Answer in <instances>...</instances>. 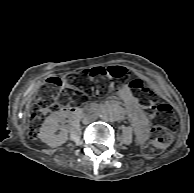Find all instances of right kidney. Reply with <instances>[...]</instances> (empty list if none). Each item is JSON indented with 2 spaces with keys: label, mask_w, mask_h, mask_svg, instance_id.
I'll list each match as a JSON object with an SVG mask.
<instances>
[{
  "label": "right kidney",
  "mask_w": 194,
  "mask_h": 193,
  "mask_svg": "<svg viewBox=\"0 0 194 193\" xmlns=\"http://www.w3.org/2000/svg\"><path fill=\"white\" fill-rule=\"evenodd\" d=\"M60 122L61 119L57 114H51L40 128L39 138L50 147L61 146L68 140L66 132L55 134Z\"/></svg>",
  "instance_id": "1"
}]
</instances>
